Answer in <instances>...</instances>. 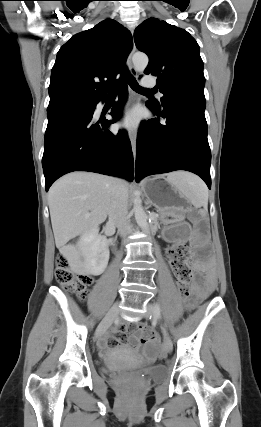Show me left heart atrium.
<instances>
[{"label": "left heart atrium", "mask_w": 261, "mask_h": 427, "mask_svg": "<svg viewBox=\"0 0 261 427\" xmlns=\"http://www.w3.org/2000/svg\"><path fill=\"white\" fill-rule=\"evenodd\" d=\"M140 126V114L136 109L130 110L123 114L118 122L117 127L131 134H135Z\"/></svg>", "instance_id": "obj_1"}]
</instances>
